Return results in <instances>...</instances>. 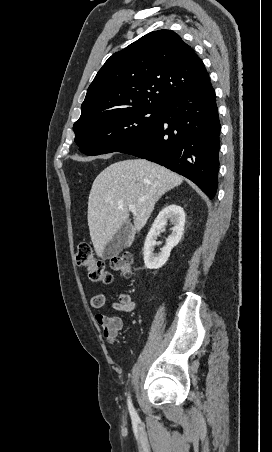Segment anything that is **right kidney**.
<instances>
[{
	"label": "right kidney",
	"mask_w": 272,
	"mask_h": 452,
	"mask_svg": "<svg viewBox=\"0 0 272 452\" xmlns=\"http://www.w3.org/2000/svg\"><path fill=\"white\" fill-rule=\"evenodd\" d=\"M168 220L173 225L171 235L166 240V245L161 249L160 253L154 254L157 236L160 230L166 226ZM184 224L185 212L181 206L171 204L162 209L152 224L144 244V263L148 269H159L167 262L171 250L182 238Z\"/></svg>",
	"instance_id": "ca27d5eb"
}]
</instances>
